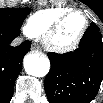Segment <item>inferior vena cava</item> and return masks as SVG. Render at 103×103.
<instances>
[{
  "label": "inferior vena cava",
  "mask_w": 103,
  "mask_h": 103,
  "mask_svg": "<svg viewBox=\"0 0 103 103\" xmlns=\"http://www.w3.org/2000/svg\"><path fill=\"white\" fill-rule=\"evenodd\" d=\"M22 42V38H16L13 42H12V46H17Z\"/></svg>",
  "instance_id": "602c4592"
}]
</instances>
